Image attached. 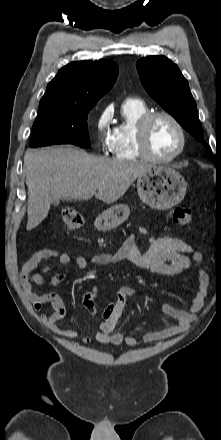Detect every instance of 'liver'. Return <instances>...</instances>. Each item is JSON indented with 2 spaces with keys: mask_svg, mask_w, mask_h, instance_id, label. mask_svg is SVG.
I'll use <instances>...</instances> for the list:
<instances>
[{
  "mask_svg": "<svg viewBox=\"0 0 221 440\" xmlns=\"http://www.w3.org/2000/svg\"><path fill=\"white\" fill-rule=\"evenodd\" d=\"M153 165L96 157L71 146L28 150L24 172L28 187L27 230L37 227L60 199L117 201ZM98 187V192H95Z\"/></svg>",
  "mask_w": 221,
  "mask_h": 440,
  "instance_id": "6515ba94",
  "label": "liver"
}]
</instances>
